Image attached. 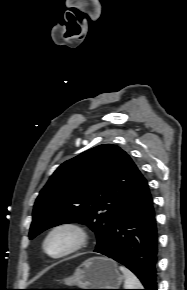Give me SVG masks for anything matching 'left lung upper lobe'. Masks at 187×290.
<instances>
[{
  "instance_id": "5c2ea615",
  "label": "left lung upper lobe",
  "mask_w": 187,
  "mask_h": 290,
  "mask_svg": "<svg viewBox=\"0 0 187 290\" xmlns=\"http://www.w3.org/2000/svg\"><path fill=\"white\" fill-rule=\"evenodd\" d=\"M145 178L129 155L103 144L64 162L36 199L29 237L63 223L89 226L101 246L127 197Z\"/></svg>"
}]
</instances>
